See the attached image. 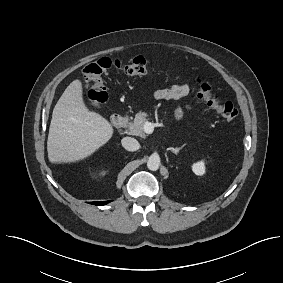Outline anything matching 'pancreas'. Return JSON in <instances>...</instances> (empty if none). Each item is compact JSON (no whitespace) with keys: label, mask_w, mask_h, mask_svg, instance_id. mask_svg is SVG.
Masks as SVG:
<instances>
[{"label":"pancreas","mask_w":283,"mask_h":283,"mask_svg":"<svg viewBox=\"0 0 283 283\" xmlns=\"http://www.w3.org/2000/svg\"><path fill=\"white\" fill-rule=\"evenodd\" d=\"M149 115L145 112H138L132 122H129L126 126L128 127L127 133L129 135H135L144 137L143 127L149 120Z\"/></svg>","instance_id":"pancreas-1"}]
</instances>
